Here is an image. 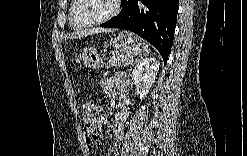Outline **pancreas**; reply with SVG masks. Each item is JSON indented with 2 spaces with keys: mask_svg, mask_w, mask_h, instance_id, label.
I'll return each mask as SVG.
<instances>
[{
  "mask_svg": "<svg viewBox=\"0 0 247 156\" xmlns=\"http://www.w3.org/2000/svg\"><path fill=\"white\" fill-rule=\"evenodd\" d=\"M133 58L124 53H116L107 62L106 68L115 67V66H125L129 63H132Z\"/></svg>",
  "mask_w": 247,
  "mask_h": 156,
  "instance_id": "cf45deb5",
  "label": "pancreas"
}]
</instances>
